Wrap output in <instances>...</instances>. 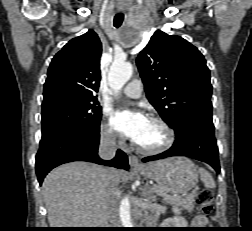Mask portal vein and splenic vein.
Returning <instances> with one entry per match:
<instances>
[{
    "instance_id": "portal-vein-and-splenic-vein-1",
    "label": "portal vein and splenic vein",
    "mask_w": 252,
    "mask_h": 231,
    "mask_svg": "<svg viewBox=\"0 0 252 231\" xmlns=\"http://www.w3.org/2000/svg\"><path fill=\"white\" fill-rule=\"evenodd\" d=\"M155 187L152 188V190H154ZM165 197V199H178V198H181V195H176V194H173V195H163Z\"/></svg>"
}]
</instances>
